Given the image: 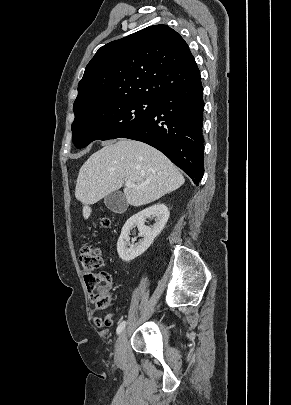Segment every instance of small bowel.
Segmentation results:
<instances>
[{"label":"small bowel","instance_id":"c3829d8e","mask_svg":"<svg viewBox=\"0 0 291 405\" xmlns=\"http://www.w3.org/2000/svg\"><path fill=\"white\" fill-rule=\"evenodd\" d=\"M112 323H113L112 314H109L104 319L98 316L94 318V324L98 328L109 327L112 325Z\"/></svg>","mask_w":291,"mask_h":405}]
</instances>
